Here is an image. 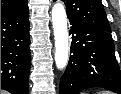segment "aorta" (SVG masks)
I'll use <instances>...</instances> for the list:
<instances>
[{"label": "aorta", "mask_w": 121, "mask_h": 94, "mask_svg": "<svg viewBox=\"0 0 121 94\" xmlns=\"http://www.w3.org/2000/svg\"><path fill=\"white\" fill-rule=\"evenodd\" d=\"M52 21L56 48L55 63L61 70L68 62L69 43L66 10L60 1H57L52 8Z\"/></svg>", "instance_id": "aorta-1"}]
</instances>
